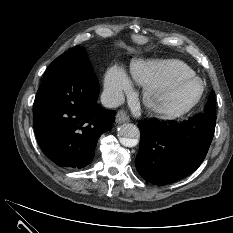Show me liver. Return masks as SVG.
Returning <instances> with one entry per match:
<instances>
[{"instance_id": "obj_1", "label": "liver", "mask_w": 233, "mask_h": 233, "mask_svg": "<svg viewBox=\"0 0 233 233\" xmlns=\"http://www.w3.org/2000/svg\"><path fill=\"white\" fill-rule=\"evenodd\" d=\"M136 41H138V42H144V40L142 38H140V37H137Z\"/></svg>"}]
</instances>
